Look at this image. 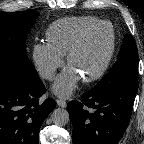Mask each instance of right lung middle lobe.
Wrapping results in <instances>:
<instances>
[{"mask_svg": "<svg viewBox=\"0 0 144 144\" xmlns=\"http://www.w3.org/2000/svg\"><path fill=\"white\" fill-rule=\"evenodd\" d=\"M39 16L36 10L0 12V78L33 84L38 73L26 55V37Z\"/></svg>", "mask_w": 144, "mask_h": 144, "instance_id": "obj_1", "label": "right lung middle lobe"}]
</instances>
